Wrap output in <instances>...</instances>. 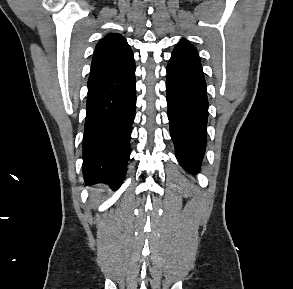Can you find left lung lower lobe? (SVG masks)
<instances>
[{"label": "left lung lower lobe", "instance_id": "0a47b994", "mask_svg": "<svg viewBox=\"0 0 293 289\" xmlns=\"http://www.w3.org/2000/svg\"><path fill=\"white\" fill-rule=\"evenodd\" d=\"M167 104L176 157L189 173L199 172L206 147L208 99L200 58L172 53L167 66Z\"/></svg>", "mask_w": 293, "mask_h": 289}]
</instances>
